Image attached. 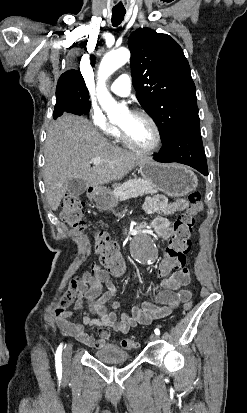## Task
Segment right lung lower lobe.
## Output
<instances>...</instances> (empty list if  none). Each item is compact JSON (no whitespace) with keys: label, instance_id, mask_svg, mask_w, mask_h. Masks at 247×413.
<instances>
[{"label":"right lung lower lobe","instance_id":"right-lung-lower-lobe-1","mask_svg":"<svg viewBox=\"0 0 247 413\" xmlns=\"http://www.w3.org/2000/svg\"><path fill=\"white\" fill-rule=\"evenodd\" d=\"M63 113H72L75 115H86L83 108L71 100H56L53 112V118L60 117Z\"/></svg>","mask_w":247,"mask_h":413}]
</instances>
